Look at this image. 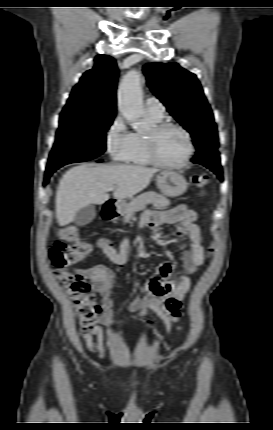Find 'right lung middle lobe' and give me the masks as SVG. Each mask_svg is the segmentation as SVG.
<instances>
[{
  "label": "right lung middle lobe",
  "instance_id": "obj_1",
  "mask_svg": "<svg viewBox=\"0 0 273 430\" xmlns=\"http://www.w3.org/2000/svg\"><path fill=\"white\" fill-rule=\"evenodd\" d=\"M115 115L62 111L46 173L74 162L88 161L106 150V132Z\"/></svg>",
  "mask_w": 273,
  "mask_h": 430
}]
</instances>
